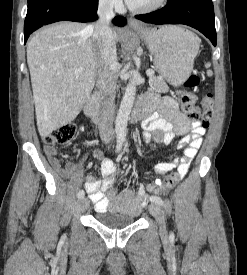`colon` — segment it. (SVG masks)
<instances>
[{
    "label": "colon",
    "mask_w": 247,
    "mask_h": 275,
    "mask_svg": "<svg viewBox=\"0 0 247 275\" xmlns=\"http://www.w3.org/2000/svg\"><path fill=\"white\" fill-rule=\"evenodd\" d=\"M200 78L197 74H190L184 82V89L180 91V103L183 111L190 119H197L200 111L196 107L197 96L191 89L198 86ZM214 100L211 94H207L202 99V125L208 128L213 116ZM76 135V127L73 124H66L54 129L50 134L44 137V143L47 145H62L70 142ZM178 179V175L172 174L162 182H156L145 186L149 193H161L171 189Z\"/></svg>",
    "instance_id": "5ec220e1"
}]
</instances>
